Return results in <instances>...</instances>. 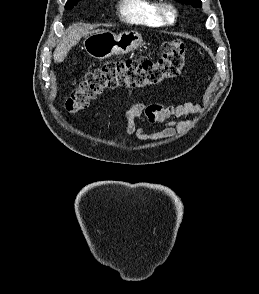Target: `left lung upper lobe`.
<instances>
[{
    "label": "left lung upper lobe",
    "mask_w": 259,
    "mask_h": 294,
    "mask_svg": "<svg viewBox=\"0 0 259 294\" xmlns=\"http://www.w3.org/2000/svg\"><path fill=\"white\" fill-rule=\"evenodd\" d=\"M180 3H184V4H191L194 7H199L201 8L202 6V2L201 0H176Z\"/></svg>",
    "instance_id": "left-lung-upper-lobe-1"
}]
</instances>
